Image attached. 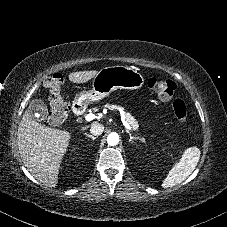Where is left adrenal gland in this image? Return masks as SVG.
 I'll list each match as a JSON object with an SVG mask.
<instances>
[{
    "label": "left adrenal gland",
    "mask_w": 227,
    "mask_h": 227,
    "mask_svg": "<svg viewBox=\"0 0 227 227\" xmlns=\"http://www.w3.org/2000/svg\"><path fill=\"white\" fill-rule=\"evenodd\" d=\"M126 132L128 133V135H129V137H130L129 142H131V143H132V142H133V140L135 139V138H134V136H132V134L130 133V131H129V130H127V129H126Z\"/></svg>",
    "instance_id": "1"
}]
</instances>
